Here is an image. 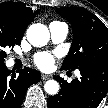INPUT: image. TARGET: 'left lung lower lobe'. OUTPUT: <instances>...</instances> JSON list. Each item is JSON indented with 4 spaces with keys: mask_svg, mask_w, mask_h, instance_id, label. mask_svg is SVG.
Masks as SVG:
<instances>
[{
    "mask_svg": "<svg viewBox=\"0 0 108 108\" xmlns=\"http://www.w3.org/2000/svg\"><path fill=\"white\" fill-rule=\"evenodd\" d=\"M80 79L67 83L54 77L61 85L59 93L47 99L48 108H97L108 91V63L100 67L79 69Z\"/></svg>",
    "mask_w": 108,
    "mask_h": 108,
    "instance_id": "0a47b994",
    "label": "left lung lower lobe"
}]
</instances>
